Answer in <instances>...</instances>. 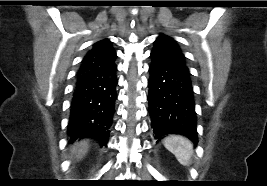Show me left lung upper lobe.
<instances>
[{
    "label": "left lung upper lobe",
    "instance_id": "5c2ea615",
    "mask_svg": "<svg viewBox=\"0 0 267 186\" xmlns=\"http://www.w3.org/2000/svg\"><path fill=\"white\" fill-rule=\"evenodd\" d=\"M154 44L151 54L158 56L165 62L189 71L186 65L185 56L174 39L161 34L155 40Z\"/></svg>",
    "mask_w": 267,
    "mask_h": 186
}]
</instances>
